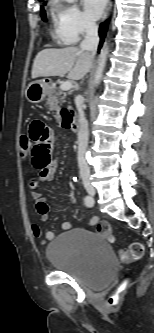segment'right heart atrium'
<instances>
[{"label": "right heart atrium", "mask_w": 154, "mask_h": 333, "mask_svg": "<svg viewBox=\"0 0 154 333\" xmlns=\"http://www.w3.org/2000/svg\"><path fill=\"white\" fill-rule=\"evenodd\" d=\"M58 26L60 40L65 44L77 43L96 29L95 24L75 4L59 6Z\"/></svg>", "instance_id": "obj_1"}]
</instances>
